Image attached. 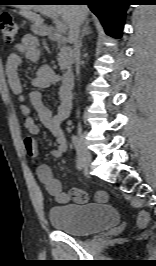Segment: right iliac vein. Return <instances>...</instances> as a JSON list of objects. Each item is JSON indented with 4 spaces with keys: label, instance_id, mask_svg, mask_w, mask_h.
I'll return each instance as SVG.
<instances>
[{
    "label": "right iliac vein",
    "instance_id": "right-iliac-vein-1",
    "mask_svg": "<svg viewBox=\"0 0 156 266\" xmlns=\"http://www.w3.org/2000/svg\"><path fill=\"white\" fill-rule=\"evenodd\" d=\"M78 138H79V143H80V154H81V159L86 168L90 166L91 163V154L89 150L86 148L85 143H84V135L82 133L81 128H78Z\"/></svg>",
    "mask_w": 156,
    "mask_h": 266
}]
</instances>
